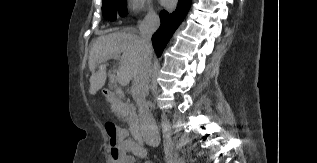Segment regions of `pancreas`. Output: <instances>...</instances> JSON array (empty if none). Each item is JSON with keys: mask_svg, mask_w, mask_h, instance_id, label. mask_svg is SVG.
Returning a JSON list of instances; mask_svg holds the SVG:
<instances>
[{"mask_svg": "<svg viewBox=\"0 0 317 163\" xmlns=\"http://www.w3.org/2000/svg\"><path fill=\"white\" fill-rule=\"evenodd\" d=\"M113 110L117 113L119 117H121L124 122L133 124L137 121L135 107L129 102H119L113 106Z\"/></svg>", "mask_w": 317, "mask_h": 163, "instance_id": "cf45deb5", "label": "pancreas"}]
</instances>
